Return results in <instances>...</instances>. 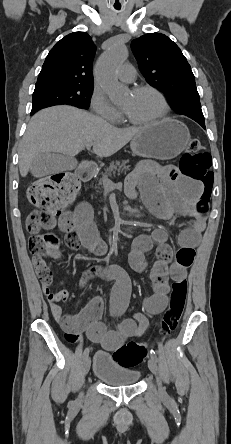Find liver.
Masks as SVG:
<instances>
[{
    "label": "liver",
    "mask_w": 231,
    "mask_h": 444,
    "mask_svg": "<svg viewBox=\"0 0 231 444\" xmlns=\"http://www.w3.org/2000/svg\"><path fill=\"white\" fill-rule=\"evenodd\" d=\"M145 127L117 128L100 117L72 106H54L37 112L30 120L19 147V171L28 174L33 159L45 152L73 158L86 144L93 152L109 157L123 148Z\"/></svg>",
    "instance_id": "liver-1"
}]
</instances>
